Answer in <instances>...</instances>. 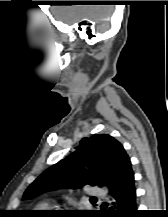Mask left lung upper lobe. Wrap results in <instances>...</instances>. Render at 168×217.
Wrapping results in <instances>:
<instances>
[{"label": "left lung upper lobe", "instance_id": "left-lung-upper-lobe-1", "mask_svg": "<svg viewBox=\"0 0 168 217\" xmlns=\"http://www.w3.org/2000/svg\"><path fill=\"white\" fill-rule=\"evenodd\" d=\"M130 165V158L120 142L107 134H95L83 138L72 153L43 172L30 184L23 198L85 185L112 190L123 184Z\"/></svg>", "mask_w": 168, "mask_h": 217}]
</instances>
